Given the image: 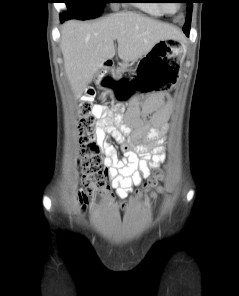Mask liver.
I'll return each instance as SVG.
<instances>
[{"instance_id": "6515ba94", "label": "liver", "mask_w": 239, "mask_h": 296, "mask_svg": "<svg viewBox=\"0 0 239 296\" xmlns=\"http://www.w3.org/2000/svg\"><path fill=\"white\" fill-rule=\"evenodd\" d=\"M165 38L180 39L182 33L173 25L131 11L114 13L95 23L66 22L61 29L60 48L75 96L80 97L103 63L115 56L114 40L118 42L119 58L130 62Z\"/></svg>"}]
</instances>
